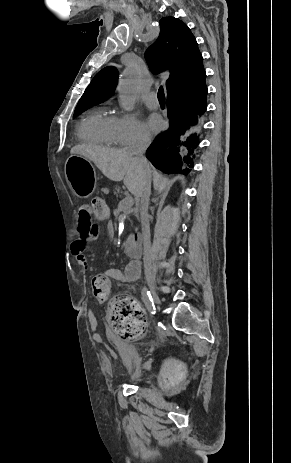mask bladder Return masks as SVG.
Returning a JSON list of instances; mask_svg holds the SVG:
<instances>
[{"mask_svg":"<svg viewBox=\"0 0 291 463\" xmlns=\"http://www.w3.org/2000/svg\"><path fill=\"white\" fill-rule=\"evenodd\" d=\"M116 349L122 360L126 363V375L130 379L135 380L136 377L134 376V368L136 362L139 361V358L137 357L138 351L136 346L129 340H123L116 342Z\"/></svg>","mask_w":291,"mask_h":463,"instance_id":"1","label":"bladder"}]
</instances>
